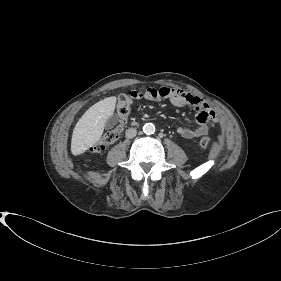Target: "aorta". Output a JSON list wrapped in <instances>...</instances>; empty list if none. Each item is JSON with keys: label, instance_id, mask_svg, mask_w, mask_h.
<instances>
[{"label": "aorta", "instance_id": "762f6f07", "mask_svg": "<svg viewBox=\"0 0 281 281\" xmlns=\"http://www.w3.org/2000/svg\"><path fill=\"white\" fill-rule=\"evenodd\" d=\"M143 131L145 134H153L155 132V125L153 123H146L143 126Z\"/></svg>", "mask_w": 281, "mask_h": 281}]
</instances>
